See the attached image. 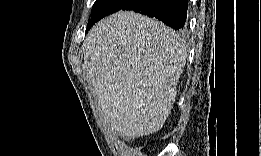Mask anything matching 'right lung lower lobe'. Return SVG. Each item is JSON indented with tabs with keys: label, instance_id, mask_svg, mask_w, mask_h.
<instances>
[{
	"label": "right lung lower lobe",
	"instance_id": "right-lung-lower-lobe-1",
	"mask_svg": "<svg viewBox=\"0 0 261 156\" xmlns=\"http://www.w3.org/2000/svg\"><path fill=\"white\" fill-rule=\"evenodd\" d=\"M188 0H131L120 10H133L155 17L175 30L184 28Z\"/></svg>",
	"mask_w": 261,
	"mask_h": 156
}]
</instances>
